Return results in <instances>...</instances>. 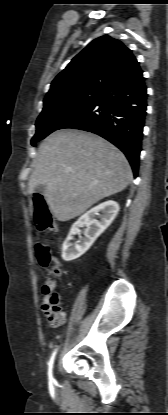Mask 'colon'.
Returning a JSON list of instances; mask_svg holds the SVG:
<instances>
[{"instance_id":"1","label":"colon","mask_w":168,"mask_h":415,"mask_svg":"<svg viewBox=\"0 0 168 415\" xmlns=\"http://www.w3.org/2000/svg\"><path fill=\"white\" fill-rule=\"evenodd\" d=\"M34 221L40 232H58V228L53 222L51 212L46 202L41 197H36L34 199ZM36 256L39 265L51 279L46 284L55 288L54 280L61 275V267L58 260L51 253L50 249L41 243L36 245Z\"/></svg>"}]
</instances>
